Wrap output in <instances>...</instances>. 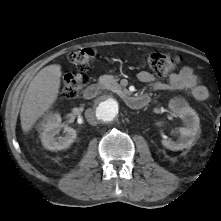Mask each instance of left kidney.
I'll return each instance as SVG.
<instances>
[{"label": "left kidney", "instance_id": "1", "mask_svg": "<svg viewBox=\"0 0 221 221\" xmlns=\"http://www.w3.org/2000/svg\"><path fill=\"white\" fill-rule=\"evenodd\" d=\"M169 108L183 120L184 126L178 130L180 133L179 141L175 142L171 139H165L162 140V145L172 151L190 148L201 131L197 113L181 98L170 100Z\"/></svg>", "mask_w": 221, "mask_h": 221}]
</instances>
